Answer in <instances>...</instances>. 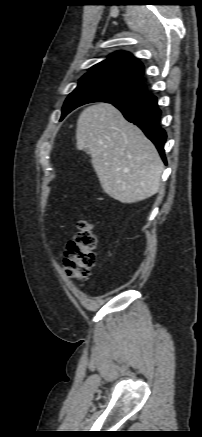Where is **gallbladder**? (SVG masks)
I'll return each instance as SVG.
<instances>
[{
    "instance_id": "1",
    "label": "gallbladder",
    "mask_w": 202,
    "mask_h": 437,
    "mask_svg": "<svg viewBox=\"0 0 202 437\" xmlns=\"http://www.w3.org/2000/svg\"><path fill=\"white\" fill-rule=\"evenodd\" d=\"M85 152H86L87 154H90L89 149H85Z\"/></svg>"
}]
</instances>
